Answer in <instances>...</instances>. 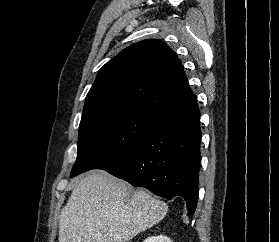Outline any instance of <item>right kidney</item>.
Wrapping results in <instances>:
<instances>
[{
	"instance_id": "ca27d5eb",
	"label": "right kidney",
	"mask_w": 279,
	"mask_h": 242,
	"mask_svg": "<svg viewBox=\"0 0 279 242\" xmlns=\"http://www.w3.org/2000/svg\"><path fill=\"white\" fill-rule=\"evenodd\" d=\"M143 242H172V241L167 236L159 235V236L148 237Z\"/></svg>"
}]
</instances>
